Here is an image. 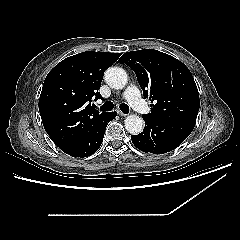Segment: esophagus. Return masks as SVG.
<instances>
[{"label":"esophagus","instance_id":"esophagus-1","mask_svg":"<svg viewBox=\"0 0 240 240\" xmlns=\"http://www.w3.org/2000/svg\"><path fill=\"white\" fill-rule=\"evenodd\" d=\"M118 114H119L120 116H122V117H125V116H127V114H126V113H124V112H122V111H120V110H118Z\"/></svg>","mask_w":240,"mask_h":240}]
</instances>
